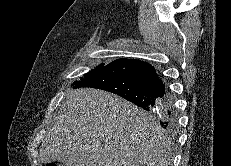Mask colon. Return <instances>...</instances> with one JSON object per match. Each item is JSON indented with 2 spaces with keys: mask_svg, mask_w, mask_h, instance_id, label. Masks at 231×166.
<instances>
[{
  "mask_svg": "<svg viewBox=\"0 0 231 166\" xmlns=\"http://www.w3.org/2000/svg\"><path fill=\"white\" fill-rule=\"evenodd\" d=\"M47 166H58V165L55 163H50V164H47Z\"/></svg>",
  "mask_w": 231,
  "mask_h": 166,
  "instance_id": "obj_1",
  "label": "colon"
}]
</instances>
